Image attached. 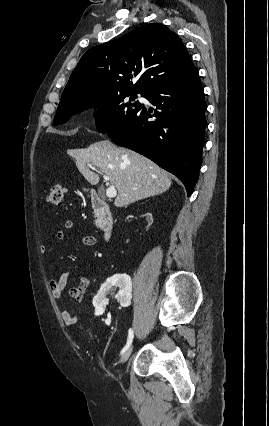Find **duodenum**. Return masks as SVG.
I'll use <instances>...</instances> for the list:
<instances>
[{
    "instance_id": "obj_1",
    "label": "duodenum",
    "mask_w": 269,
    "mask_h": 426,
    "mask_svg": "<svg viewBox=\"0 0 269 426\" xmlns=\"http://www.w3.org/2000/svg\"><path fill=\"white\" fill-rule=\"evenodd\" d=\"M90 204L99 229L103 232L105 238H110L114 232V220L104 196L99 192H91Z\"/></svg>"
}]
</instances>
